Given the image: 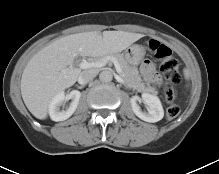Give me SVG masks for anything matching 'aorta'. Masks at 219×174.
Returning <instances> with one entry per match:
<instances>
[{
	"label": "aorta",
	"instance_id": "1",
	"mask_svg": "<svg viewBox=\"0 0 219 174\" xmlns=\"http://www.w3.org/2000/svg\"><path fill=\"white\" fill-rule=\"evenodd\" d=\"M99 79L101 82L108 83L113 79V74L109 70H104L99 74Z\"/></svg>",
	"mask_w": 219,
	"mask_h": 174
}]
</instances>
